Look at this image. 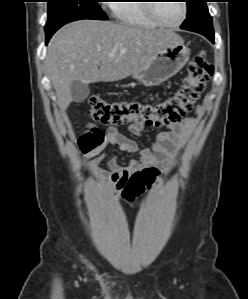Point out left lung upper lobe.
Returning a JSON list of instances; mask_svg holds the SVG:
<instances>
[{
  "mask_svg": "<svg viewBox=\"0 0 248 299\" xmlns=\"http://www.w3.org/2000/svg\"><path fill=\"white\" fill-rule=\"evenodd\" d=\"M207 0H186L188 15L181 25L182 29L200 33L207 30L213 33L212 18L206 5Z\"/></svg>",
  "mask_w": 248,
  "mask_h": 299,
  "instance_id": "obj_1",
  "label": "left lung upper lobe"
}]
</instances>
